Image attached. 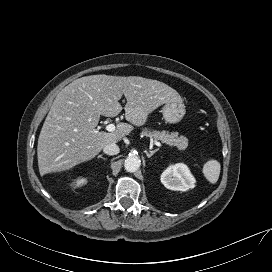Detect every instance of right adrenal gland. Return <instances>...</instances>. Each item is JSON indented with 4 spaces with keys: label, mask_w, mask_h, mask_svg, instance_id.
Instances as JSON below:
<instances>
[{
    "label": "right adrenal gland",
    "mask_w": 272,
    "mask_h": 272,
    "mask_svg": "<svg viewBox=\"0 0 272 272\" xmlns=\"http://www.w3.org/2000/svg\"><path fill=\"white\" fill-rule=\"evenodd\" d=\"M98 158H102L103 160H106V158L102 157V155H99Z\"/></svg>",
    "instance_id": "1"
}]
</instances>
